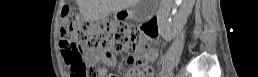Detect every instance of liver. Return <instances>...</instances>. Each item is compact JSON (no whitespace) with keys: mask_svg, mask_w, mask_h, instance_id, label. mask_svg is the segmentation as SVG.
Wrapping results in <instances>:
<instances>
[{"mask_svg":"<svg viewBox=\"0 0 258 77\" xmlns=\"http://www.w3.org/2000/svg\"><path fill=\"white\" fill-rule=\"evenodd\" d=\"M139 0H76L79 11L86 21H98L111 13H117L122 9L134 7ZM173 0H162L170 4Z\"/></svg>","mask_w":258,"mask_h":77,"instance_id":"obj_1","label":"liver"}]
</instances>
